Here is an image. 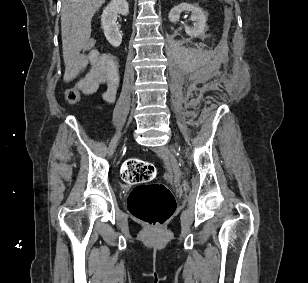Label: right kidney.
<instances>
[{"label":"right kidney","instance_id":"right-kidney-1","mask_svg":"<svg viewBox=\"0 0 308 283\" xmlns=\"http://www.w3.org/2000/svg\"><path fill=\"white\" fill-rule=\"evenodd\" d=\"M129 6L126 0H112L103 10L101 25L107 41L114 47H119L122 35L117 25L118 14L127 15Z\"/></svg>","mask_w":308,"mask_h":283}]
</instances>
